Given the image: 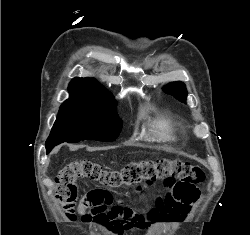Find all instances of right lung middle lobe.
Here are the masks:
<instances>
[{"label": "right lung middle lobe", "instance_id": "dd1d6c3e", "mask_svg": "<svg viewBox=\"0 0 250 235\" xmlns=\"http://www.w3.org/2000/svg\"><path fill=\"white\" fill-rule=\"evenodd\" d=\"M122 128L116 112V100H66L46 145L81 140L115 141Z\"/></svg>", "mask_w": 250, "mask_h": 235}]
</instances>
